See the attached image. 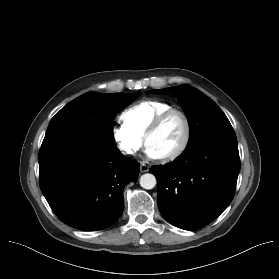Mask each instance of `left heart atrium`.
<instances>
[{"label": "left heart atrium", "mask_w": 279, "mask_h": 279, "mask_svg": "<svg viewBox=\"0 0 279 279\" xmlns=\"http://www.w3.org/2000/svg\"><path fill=\"white\" fill-rule=\"evenodd\" d=\"M148 156H150L151 158H160V156L150 147L147 146V150H146Z\"/></svg>", "instance_id": "39dd6f15"}]
</instances>
